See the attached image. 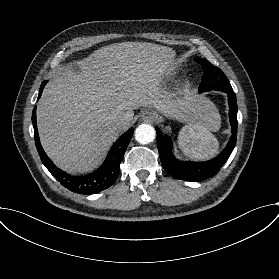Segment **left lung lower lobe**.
<instances>
[{
    "instance_id": "1",
    "label": "left lung lower lobe",
    "mask_w": 279,
    "mask_h": 279,
    "mask_svg": "<svg viewBox=\"0 0 279 279\" xmlns=\"http://www.w3.org/2000/svg\"><path fill=\"white\" fill-rule=\"evenodd\" d=\"M228 95L229 102V120L231 124L232 135L227 146L215 158L205 162H182L177 160L172 154V143L170 139L163 135L158 127L157 147L163 168L174 178L186 181H202L216 175L226 160L231 155L235 144L237 134V102L234 91L225 92Z\"/></svg>"
}]
</instances>
